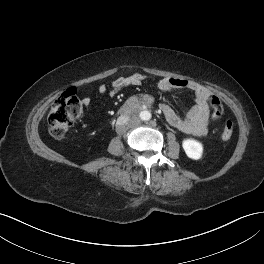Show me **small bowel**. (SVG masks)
Listing matches in <instances>:
<instances>
[{
	"mask_svg": "<svg viewBox=\"0 0 264 264\" xmlns=\"http://www.w3.org/2000/svg\"><path fill=\"white\" fill-rule=\"evenodd\" d=\"M147 79L148 77L141 73L118 77L112 81L109 86L103 83L100 84L98 86V92L102 95L107 94L109 96H114L124 88L141 85ZM156 86L162 92L176 90L191 91L195 96V104L185 117H180L174 109L167 104H162L160 110L166 121L181 132L195 136H203L207 133L210 115L208 106L210 92L206 87L194 81L174 77L162 78L156 81ZM81 102L85 108H88L91 104V100L88 97H84Z\"/></svg>",
	"mask_w": 264,
	"mask_h": 264,
	"instance_id": "1",
	"label": "small bowel"
}]
</instances>
